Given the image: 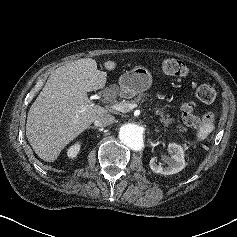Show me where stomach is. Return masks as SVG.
I'll return each mask as SVG.
<instances>
[{
  "instance_id": "0dacf381",
  "label": "stomach",
  "mask_w": 237,
  "mask_h": 237,
  "mask_svg": "<svg viewBox=\"0 0 237 237\" xmlns=\"http://www.w3.org/2000/svg\"><path fill=\"white\" fill-rule=\"evenodd\" d=\"M152 83V75L145 67H135L119 78L121 93L126 98L147 90Z\"/></svg>"
}]
</instances>
